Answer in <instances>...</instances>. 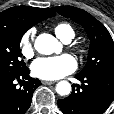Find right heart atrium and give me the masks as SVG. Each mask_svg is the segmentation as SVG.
<instances>
[{"instance_id": "obj_1", "label": "right heart atrium", "mask_w": 114, "mask_h": 114, "mask_svg": "<svg viewBox=\"0 0 114 114\" xmlns=\"http://www.w3.org/2000/svg\"><path fill=\"white\" fill-rule=\"evenodd\" d=\"M34 36H35V30L30 29V30L26 31L20 39V51H21L22 55L26 58H29L33 55Z\"/></svg>"}]
</instances>
